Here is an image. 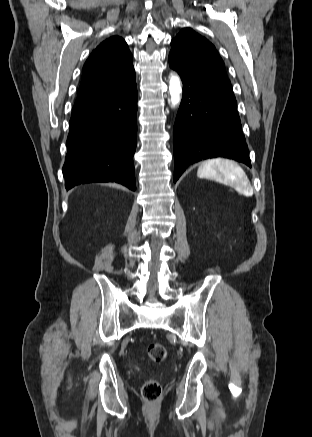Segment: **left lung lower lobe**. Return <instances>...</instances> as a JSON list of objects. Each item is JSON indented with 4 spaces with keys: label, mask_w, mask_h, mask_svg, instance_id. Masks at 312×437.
<instances>
[{
    "label": "left lung lower lobe",
    "mask_w": 312,
    "mask_h": 437,
    "mask_svg": "<svg viewBox=\"0 0 312 437\" xmlns=\"http://www.w3.org/2000/svg\"><path fill=\"white\" fill-rule=\"evenodd\" d=\"M169 65L184 85L173 131L174 182L190 164L207 158L225 157L251 167L233 92L171 55Z\"/></svg>",
    "instance_id": "obj_1"
}]
</instances>
